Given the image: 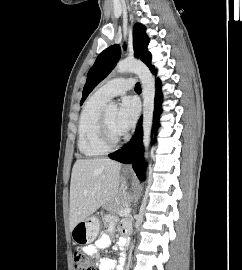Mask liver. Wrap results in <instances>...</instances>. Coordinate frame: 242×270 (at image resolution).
Wrapping results in <instances>:
<instances>
[{"mask_svg":"<svg viewBox=\"0 0 242 270\" xmlns=\"http://www.w3.org/2000/svg\"><path fill=\"white\" fill-rule=\"evenodd\" d=\"M121 164L108 158L79 159L75 162L70 184V230L125 192L120 178Z\"/></svg>","mask_w":242,"mask_h":270,"instance_id":"obj_1","label":"liver"}]
</instances>
